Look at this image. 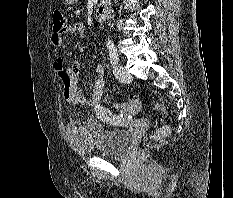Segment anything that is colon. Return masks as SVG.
I'll use <instances>...</instances> for the list:
<instances>
[{"label": "colon", "instance_id": "5ec220e1", "mask_svg": "<svg viewBox=\"0 0 233 198\" xmlns=\"http://www.w3.org/2000/svg\"><path fill=\"white\" fill-rule=\"evenodd\" d=\"M53 22V31L60 32L66 26V20L61 11L55 10L52 15ZM116 109L123 116H132L140 112L141 110V102L138 98H132L128 102L116 104ZM155 109L157 111H161L167 113L166 107L162 103H157L155 105ZM171 133V127L168 124L160 126L156 129L150 136L151 142H159L166 137H168Z\"/></svg>", "mask_w": 233, "mask_h": 198}]
</instances>
